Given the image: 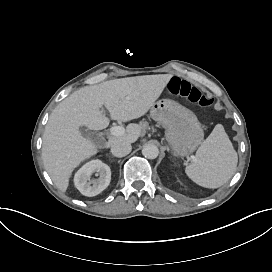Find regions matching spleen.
Here are the masks:
<instances>
[{
    "instance_id": "1",
    "label": "spleen",
    "mask_w": 272,
    "mask_h": 272,
    "mask_svg": "<svg viewBox=\"0 0 272 272\" xmlns=\"http://www.w3.org/2000/svg\"><path fill=\"white\" fill-rule=\"evenodd\" d=\"M237 154L221 124H217L185 167L186 175L197 185L218 188L234 174Z\"/></svg>"
}]
</instances>
